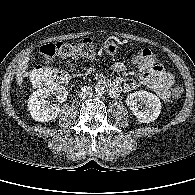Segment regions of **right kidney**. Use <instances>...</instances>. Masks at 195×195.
<instances>
[{
	"mask_svg": "<svg viewBox=\"0 0 195 195\" xmlns=\"http://www.w3.org/2000/svg\"><path fill=\"white\" fill-rule=\"evenodd\" d=\"M55 95L59 102L67 99L68 92L60 85H50L34 91L28 99V110L31 117L38 122H48L55 119L60 111L58 104L50 105L49 97Z\"/></svg>",
	"mask_w": 195,
	"mask_h": 195,
	"instance_id": "ca27d5eb",
	"label": "right kidney"
}]
</instances>
